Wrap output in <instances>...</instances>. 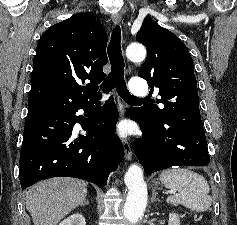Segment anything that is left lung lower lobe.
I'll return each mask as SVG.
<instances>
[{
  "mask_svg": "<svg viewBox=\"0 0 237 225\" xmlns=\"http://www.w3.org/2000/svg\"><path fill=\"white\" fill-rule=\"evenodd\" d=\"M144 135L135 141V154L148 174L172 166H208L207 142L199 106L190 107L161 122L148 121L139 108H132Z\"/></svg>",
  "mask_w": 237,
  "mask_h": 225,
  "instance_id": "left-lung-lower-lobe-1",
  "label": "left lung lower lobe"
}]
</instances>
